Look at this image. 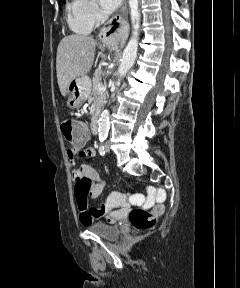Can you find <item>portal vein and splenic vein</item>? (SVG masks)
Here are the masks:
<instances>
[{
    "instance_id": "18ae733b",
    "label": "portal vein and splenic vein",
    "mask_w": 240,
    "mask_h": 288,
    "mask_svg": "<svg viewBox=\"0 0 240 288\" xmlns=\"http://www.w3.org/2000/svg\"><path fill=\"white\" fill-rule=\"evenodd\" d=\"M104 89V87H103V83H102V81L100 80L99 81V84H98V90H103Z\"/></svg>"
}]
</instances>
